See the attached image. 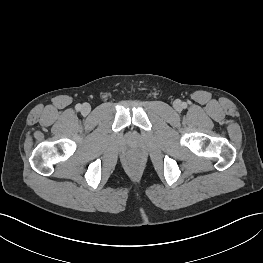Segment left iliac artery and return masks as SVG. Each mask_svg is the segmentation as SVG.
Here are the masks:
<instances>
[{
  "instance_id": "44dca946",
  "label": "left iliac artery",
  "mask_w": 263,
  "mask_h": 263,
  "mask_svg": "<svg viewBox=\"0 0 263 263\" xmlns=\"http://www.w3.org/2000/svg\"><path fill=\"white\" fill-rule=\"evenodd\" d=\"M182 107H183V108H186V107H187L186 103H183V104H182Z\"/></svg>"
}]
</instances>
